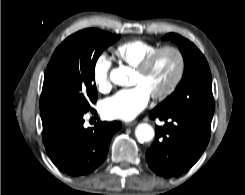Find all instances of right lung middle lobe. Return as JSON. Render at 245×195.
Returning a JSON list of instances; mask_svg holds the SVG:
<instances>
[{
  "label": "right lung middle lobe",
  "instance_id": "right-lung-middle-lobe-1",
  "mask_svg": "<svg viewBox=\"0 0 245 195\" xmlns=\"http://www.w3.org/2000/svg\"><path fill=\"white\" fill-rule=\"evenodd\" d=\"M120 38L97 29L69 36L53 53L47 66L40 113L42 123L74 117L92 110L97 100L94 70L98 57Z\"/></svg>",
  "mask_w": 245,
  "mask_h": 195
}]
</instances>
